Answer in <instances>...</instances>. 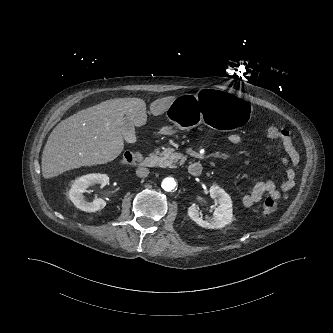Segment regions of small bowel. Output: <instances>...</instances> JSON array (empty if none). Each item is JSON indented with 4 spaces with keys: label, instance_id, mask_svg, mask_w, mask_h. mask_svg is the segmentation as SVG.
Wrapping results in <instances>:
<instances>
[{
    "label": "small bowel",
    "instance_id": "obj_1",
    "mask_svg": "<svg viewBox=\"0 0 333 333\" xmlns=\"http://www.w3.org/2000/svg\"><path fill=\"white\" fill-rule=\"evenodd\" d=\"M269 128H274L277 132L276 135L270 136L269 138L277 140L284 153L282 163L286 167V178L281 183L280 187H277L272 181L257 182L252 191L246 194L242 199L243 205L248 208L260 201L264 195H269L275 200L286 198L288 192L295 185V167L299 164L300 157L294 146L291 134L285 128H277L274 126ZM228 140L232 145H237L241 142V137L237 133H232L229 135Z\"/></svg>",
    "mask_w": 333,
    "mask_h": 333
}]
</instances>
